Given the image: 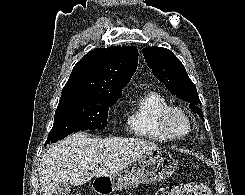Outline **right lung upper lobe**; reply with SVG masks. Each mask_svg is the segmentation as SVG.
Listing matches in <instances>:
<instances>
[{"mask_svg": "<svg viewBox=\"0 0 245 195\" xmlns=\"http://www.w3.org/2000/svg\"><path fill=\"white\" fill-rule=\"evenodd\" d=\"M137 64L138 50L134 46L91 50L74 66L62 94L90 92L120 97Z\"/></svg>", "mask_w": 245, "mask_h": 195, "instance_id": "obj_1", "label": "right lung upper lobe"}]
</instances>
